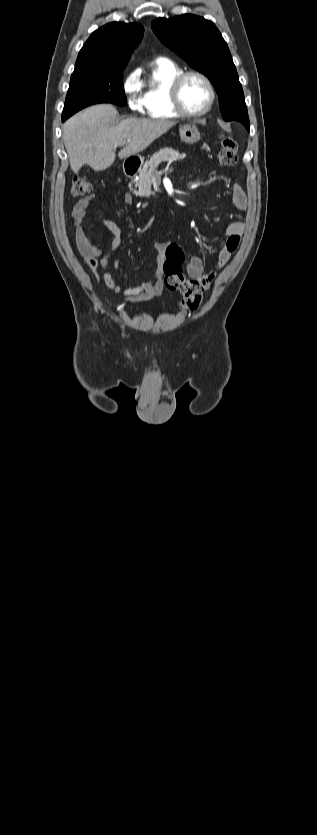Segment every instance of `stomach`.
<instances>
[{
	"mask_svg": "<svg viewBox=\"0 0 317 835\" xmlns=\"http://www.w3.org/2000/svg\"><path fill=\"white\" fill-rule=\"evenodd\" d=\"M180 138L186 144H195L200 140V132L194 124H185L179 128ZM135 160L140 162L144 158L141 156H134Z\"/></svg>",
	"mask_w": 317,
	"mask_h": 835,
	"instance_id": "stomach-1",
	"label": "stomach"
}]
</instances>
